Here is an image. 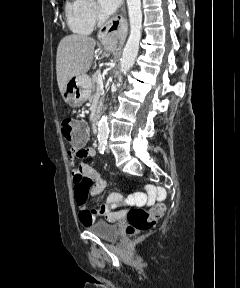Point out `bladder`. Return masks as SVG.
<instances>
[{
	"label": "bladder",
	"instance_id": "bladder-1",
	"mask_svg": "<svg viewBox=\"0 0 240 288\" xmlns=\"http://www.w3.org/2000/svg\"><path fill=\"white\" fill-rule=\"evenodd\" d=\"M88 230L99 238L114 241L119 236V230L116 225L98 221L88 226Z\"/></svg>",
	"mask_w": 240,
	"mask_h": 288
}]
</instances>
